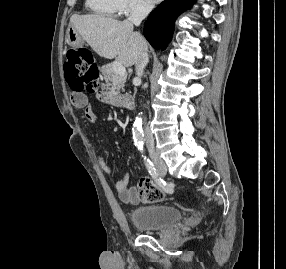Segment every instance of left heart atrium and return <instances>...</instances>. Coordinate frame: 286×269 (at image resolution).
<instances>
[{
	"label": "left heart atrium",
	"mask_w": 286,
	"mask_h": 269,
	"mask_svg": "<svg viewBox=\"0 0 286 269\" xmlns=\"http://www.w3.org/2000/svg\"><path fill=\"white\" fill-rule=\"evenodd\" d=\"M149 1V3H151V4H155V3H157V2H159V1H161V0H148Z\"/></svg>",
	"instance_id": "39dd6f15"
}]
</instances>
